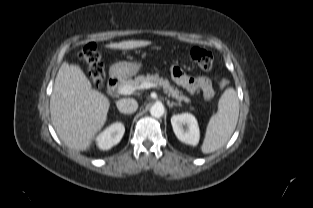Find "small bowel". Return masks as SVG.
Masks as SVG:
<instances>
[{"label": "small bowel", "mask_w": 313, "mask_h": 208, "mask_svg": "<svg viewBox=\"0 0 313 208\" xmlns=\"http://www.w3.org/2000/svg\"><path fill=\"white\" fill-rule=\"evenodd\" d=\"M171 75L175 83L182 86L189 93L201 91L205 99H210L214 95L211 81L204 76H192L186 74L180 67L173 66Z\"/></svg>", "instance_id": "small-bowel-1"}]
</instances>
